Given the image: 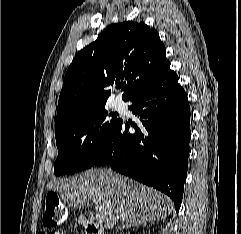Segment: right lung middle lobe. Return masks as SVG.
Masks as SVG:
<instances>
[{
    "instance_id": "right-lung-middle-lobe-1",
    "label": "right lung middle lobe",
    "mask_w": 241,
    "mask_h": 234,
    "mask_svg": "<svg viewBox=\"0 0 241 234\" xmlns=\"http://www.w3.org/2000/svg\"><path fill=\"white\" fill-rule=\"evenodd\" d=\"M119 123L120 119L114 113L109 114L104 106L78 123L55 131L58 157L54 174L65 175L92 167L107 148Z\"/></svg>"
}]
</instances>
